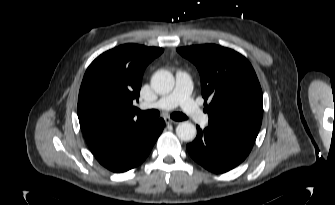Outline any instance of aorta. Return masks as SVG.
<instances>
[{"label": "aorta", "mask_w": 335, "mask_h": 205, "mask_svg": "<svg viewBox=\"0 0 335 205\" xmlns=\"http://www.w3.org/2000/svg\"><path fill=\"white\" fill-rule=\"evenodd\" d=\"M151 86L158 94H168L174 87V77L167 70H158L151 78ZM196 133V127L190 122H181L176 127V134L182 141L194 140Z\"/></svg>", "instance_id": "obj_1"}]
</instances>
